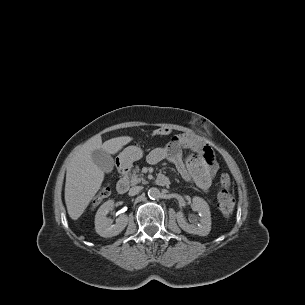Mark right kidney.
<instances>
[{
  "label": "right kidney",
  "mask_w": 305,
  "mask_h": 305,
  "mask_svg": "<svg viewBox=\"0 0 305 305\" xmlns=\"http://www.w3.org/2000/svg\"><path fill=\"white\" fill-rule=\"evenodd\" d=\"M114 201L108 200L103 203L95 215V230L105 238L119 235L128 224V216L121 214L116 219V224H112V220L107 218V214L113 210Z\"/></svg>",
  "instance_id": "obj_1"
}]
</instances>
